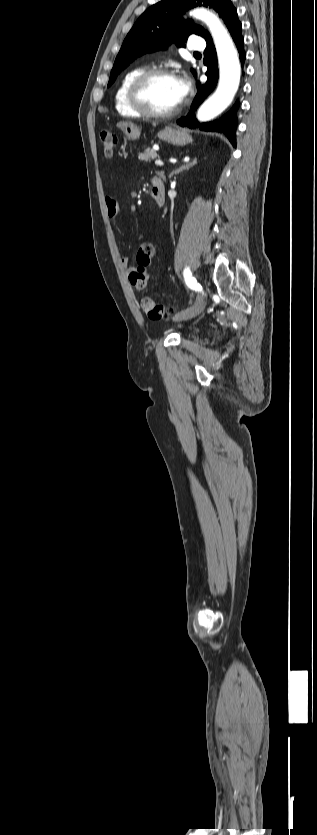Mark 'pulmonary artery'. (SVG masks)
<instances>
[{"instance_id":"obj_1","label":"pulmonary artery","mask_w":317,"mask_h":835,"mask_svg":"<svg viewBox=\"0 0 317 835\" xmlns=\"http://www.w3.org/2000/svg\"><path fill=\"white\" fill-rule=\"evenodd\" d=\"M204 48L205 42L200 37H194L189 44V49L194 52L203 51Z\"/></svg>"}]
</instances>
